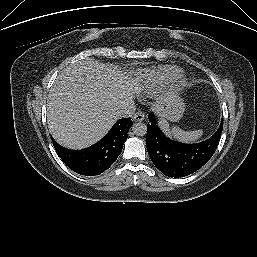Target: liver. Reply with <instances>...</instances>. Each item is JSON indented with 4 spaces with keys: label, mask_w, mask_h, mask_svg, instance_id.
Instances as JSON below:
<instances>
[{
    "label": "liver",
    "mask_w": 257,
    "mask_h": 257,
    "mask_svg": "<svg viewBox=\"0 0 257 257\" xmlns=\"http://www.w3.org/2000/svg\"><path fill=\"white\" fill-rule=\"evenodd\" d=\"M141 90L138 78L116 66L92 58L71 64L61 71L49 93L50 133L65 147H88L107 134L119 118L117 109ZM165 95L157 98L154 108Z\"/></svg>",
    "instance_id": "1"
}]
</instances>
